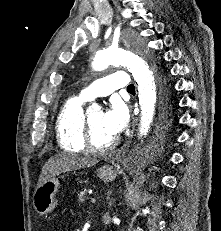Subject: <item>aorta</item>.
<instances>
[{"label": "aorta", "mask_w": 221, "mask_h": 231, "mask_svg": "<svg viewBox=\"0 0 221 231\" xmlns=\"http://www.w3.org/2000/svg\"><path fill=\"white\" fill-rule=\"evenodd\" d=\"M109 65L124 66L132 73L137 83L141 109L139 137H146L153 122L156 103V85L148 64L132 51L123 48L98 50L94 56L93 68L101 71ZM95 106L94 104L93 107Z\"/></svg>", "instance_id": "obj_1"}]
</instances>
